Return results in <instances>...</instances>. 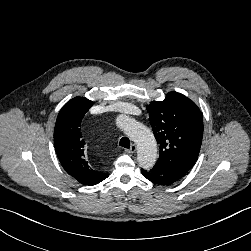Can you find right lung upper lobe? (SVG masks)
Here are the masks:
<instances>
[{
	"instance_id": "1",
	"label": "right lung upper lobe",
	"mask_w": 251,
	"mask_h": 251,
	"mask_svg": "<svg viewBox=\"0 0 251 251\" xmlns=\"http://www.w3.org/2000/svg\"><path fill=\"white\" fill-rule=\"evenodd\" d=\"M92 105L85 97L71 99L60 110L54 129V145L61 165L78 182L89 186L108 177L107 173L93 170L86 159L81 121Z\"/></svg>"
}]
</instances>
